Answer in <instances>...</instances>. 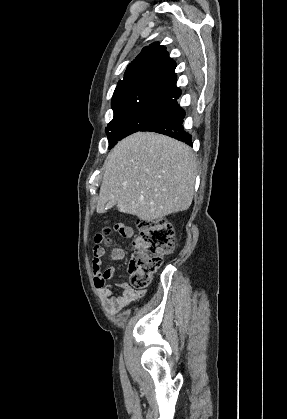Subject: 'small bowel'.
<instances>
[{
  "instance_id": "c3829d8e",
  "label": "small bowel",
  "mask_w": 287,
  "mask_h": 419,
  "mask_svg": "<svg viewBox=\"0 0 287 419\" xmlns=\"http://www.w3.org/2000/svg\"><path fill=\"white\" fill-rule=\"evenodd\" d=\"M116 231L122 236L131 238L133 242H136L138 239L134 230L123 223L116 225ZM124 255L125 253L121 248H114L111 252V259L113 261H121L123 260ZM102 258L103 249L100 246H96L93 249L91 262L92 270L94 272V284L104 301L108 313L114 316L128 307L131 303L137 301L143 294L137 293L125 282L115 284V286L121 290V293L114 294L107 281L116 276L117 269L116 267L111 266L102 270Z\"/></svg>"
}]
</instances>
